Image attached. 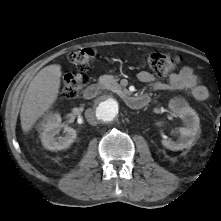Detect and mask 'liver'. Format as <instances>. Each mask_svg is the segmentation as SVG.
<instances>
[{"instance_id": "obj_1", "label": "liver", "mask_w": 221, "mask_h": 221, "mask_svg": "<svg viewBox=\"0 0 221 221\" xmlns=\"http://www.w3.org/2000/svg\"><path fill=\"white\" fill-rule=\"evenodd\" d=\"M61 75V66L52 64L41 69L30 82L20 111L21 127L24 133L29 132L35 122L56 101Z\"/></svg>"}]
</instances>
